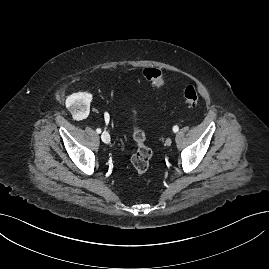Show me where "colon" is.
<instances>
[{
  "instance_id": "1",
  "label": "colon",
  "mask_w": 269,
  "mask_h": 269,
  "mask_svg": "<svg viewBox=\"0 0 269 269\" xmlns=\"http://www.w3.org/2000/svg\"><path fill=\"white\" fill-rule=\"evenodd\" d=\"M144 77L154 86L161 87L164 85L162 72L157 68H147L143 71ZM199 100L198 92L194 86H187L184 90V102L188 107H194ZM133 139L136 143V151L131 158L132 166L138 175H144L150 166L152 150L146 144V135L144 131L135 127Z\"/></svg>"
}]
</instances>
